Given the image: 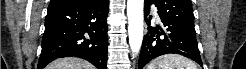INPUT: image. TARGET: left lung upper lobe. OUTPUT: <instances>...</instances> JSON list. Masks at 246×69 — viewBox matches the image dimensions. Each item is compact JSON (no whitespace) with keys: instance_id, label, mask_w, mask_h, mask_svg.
<instances>
[{"instance_id":"5c2ea615","label":"left lung upper lobe","mask_w":246,"mask_h":69,"mask_svg":"<svg viewBox=\"0 0 246 69\" xmlns=\"http://www.w3.org/2000/svg\"><path fill=\"white\" fill-rule=\"evenodd\" d=\"M158 12L175 21L194 26V15L191 0H150Z\"/></svg>"}]
</instances>
